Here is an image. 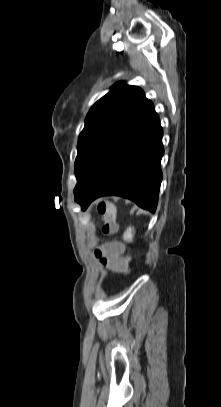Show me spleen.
Wrapping results in <instances>:
<instances>
[{
  "mask_svg": "<svg viewBox=\"0 0 221 407\" xmlns=\"http://www.w3.org/2000/svg\"><path fill=\"white\" fill-rule=\"evenodd\" d=\"M134 237V228L128 227L127 230L124 232L123 239L127 242H132Z\"/></svg>",
  "mask_w": 221,
  "mask_h": 407,
  "instance_id": "obj_1",
  "label": "spleen"
}]
</instances>
